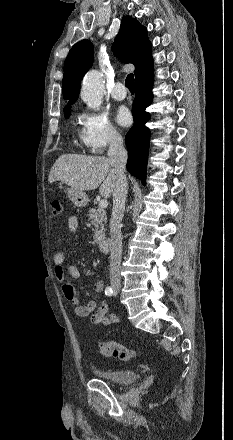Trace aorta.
I'll list each match as a JSON object with an SVG mask.
<instances>
[{
    "label": "aorta",
    "mask_w": 233,
    "mask_h": 440,
    "mask_svg": "<svg viewBox=\"0 0 233 440\" xmlns=\"http://www.w3.org/2000/svg\"><path fill=\"white\" fill-rule=\"evenodd\" d=\"M104 88L102 74L92 70L83 79L81 98L89 108L98 109L102 103Z\"/></svg>",
    "instance_id": "762f6f07"
}]
</instances>
